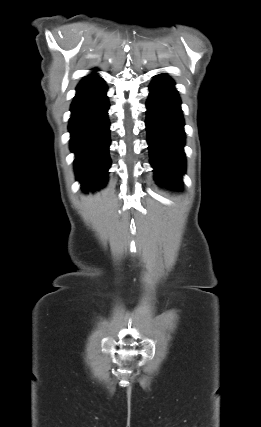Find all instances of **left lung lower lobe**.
<instances>
[{"mask_svg":"<svg viewBox=\"0 0 261 427\" xmlns=\"http://www.w3.org/2000/svg\"><path fill=\"white\" fill-rule=\"evenodd\" d=\"M150 89L146 129L155 179L159 184L180 188L181 175L185 171L181 102L167 75L155 77Z\"/></svg>","mask_w":261,"mask_h":427,"instance_id":"0a47b994","label":"left lung lower lobe"}]
</instances>
